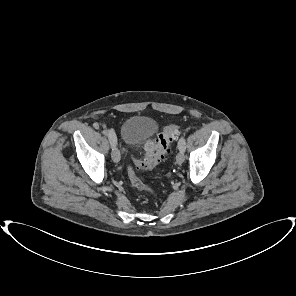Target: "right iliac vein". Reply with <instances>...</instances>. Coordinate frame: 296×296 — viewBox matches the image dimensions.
<instances>
[{"label": "right iliac vein", "instance_id": "right-iliac-vein-1", "mask_svg": "<svg viewBox=\"0 0 296 296\" xmlns=\"http://www.w3.org/2000/svg\"><path fill=\"white\" fill-rule=\"evenodd\" d=\"M113 148H114V150L112 152V159L114 162L118 163L121 159L120 151L118 150L116 145Z\"/></svg>", "mask_w": 296, "mask_h": 296}]
</instances>
